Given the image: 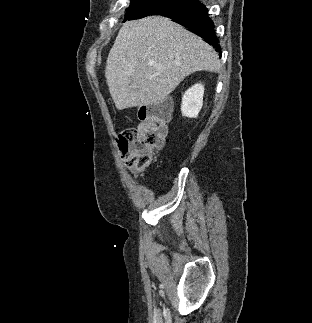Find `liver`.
<instances>
[{
  "label": "liver",
  "mask_w": 312,
  "mask_h": 323,
  "mask_svg": "<svg viewBox=\"0 0 312 323\" xmlns=\"http://www.w3.org/2000/svg\"><path fill=\"white\" fill-rule=\"evenodd\" d=\"M212 46L163 16L125 22L108 54L105 78L117 110L160 104L194 72H219Z\"/></svg>",
  "instance_id": "6515ba94"
}]
</instances>
